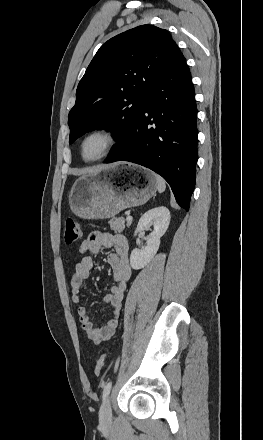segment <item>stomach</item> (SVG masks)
<instances>
[{"mask_svg": "<svg viewBox=\"0 0 263 440\" xmlns=\"http://www.w3.org/2000/svg\"><path fill=\"white\" fill-rule=\"evenodd\" d=\"M156 190L155 173L148 169L135 165L105 166L74 182L69 205L78 217L108 219L124 209L145 204Z\"/></svg>", "mask_w": 263, "mask_h": 440, "instance_id": "1", "label": "stomach"}]
</instances>
